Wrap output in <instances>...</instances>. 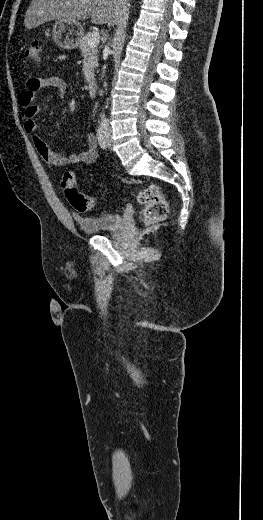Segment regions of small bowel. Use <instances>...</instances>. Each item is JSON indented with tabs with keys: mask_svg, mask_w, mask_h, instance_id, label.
I'll return each mask as SVG.
<instances>
[{
	"mask_svg": "<svg viewBox=\"0 0 263 520\" xmlns=\"http://www.w3.org/2000/svg\"><path fill=\"white\" fill-rule=\"evenodd\" d=\"M45 87L54 88L60 94H64L67 90L65 81L58 76L30 78L27 80L25 88L19 96L20 103L25 112L24 128L25 131L32 136L37 152L46 163L55 167L75 164H94L97 160V142L94 134L88 133L86 135V150L70 155L52 151L46 142L37 134L38 126L35 117L39 113L40 107L34 104V96L37 91Z\"/></svg>",
	"mask_w": 263,
	"mask_h": 520,
	"instance_id": "c3829d8e",
	"label": "small bowel"
}]
</instances>
